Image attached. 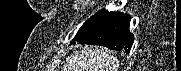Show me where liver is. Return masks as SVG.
Returning a JSON list of instances; mask_svg holds the SVG:
<instances>
[{
    "label": "liver",
    "mask_w": 181,
    "mask_h": 71,
    "mask_svg": "<svg viewBox=\"0 0 181 71\" xmlns=\"http://www.w3.org/2000/svg\"><path fill=\"white\" fill-rule=\"evenodd\" d=\"M119 61L104 49L84 48L66 58L63 71H117Z\"/></svg>",
    "instance_id": "1"
}]
</instances>
